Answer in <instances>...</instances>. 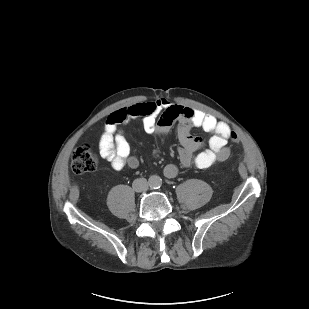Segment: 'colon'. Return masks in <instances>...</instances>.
Wrapping results in <instances>:
<instances>
[{"label":"colon","instance_id":"colon-1","mask_svg":"<svg viewBox=\"0 0 309 309\" xmlns=\"http://www.w3.org/2000/svg\"><path fill=\"white\" fill-rule=\"evenodd\" d=\"M233 143H237L239 138L234 132L230 134ZM98 165V158L94 151L88 146H80L74 150L71 157V169L75 174H85L95 171Z\"/></svg>","mask_w":309,"mask_h":309}]
</instances>
